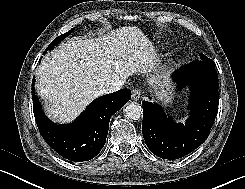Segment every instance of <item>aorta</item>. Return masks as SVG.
Returning a JSON list of instances; mask_svg holds the SVG:
<instances>
[{"label":"aorta","mask_w":245,"mask_h":189,"mask_svg":"<svg viewBox=\"0 0 245 189\" xmlns=\"http://www.w3.org/2000/svg\"><path fill=\"white\" fill-rule=\"evenodd\" d=\"M124 113L128 119L137 121L141 118L143 111L139 104L132 102L126 105Z\"/></svg>","instance_id":"obj_1"}]
</instances>
